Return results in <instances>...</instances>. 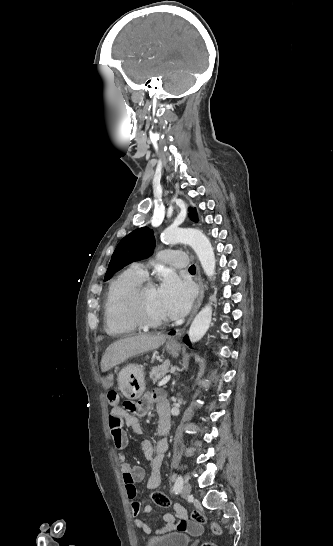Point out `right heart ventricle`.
<instances>
[{
    "instance_id": "right-heart-ventricle-1",
    "label": "right heart ventricle",
    "mask_w": 333,
    "mask_h": 546,
    "mask_svg": "<svg viewBox=\"0 0 333 546\" xmlns=\"http://www.w3.org/2000/svg\"><path fill=\"white\" fill-rule=\"evenodd\" d=\"M144 279L136 268L131 267L110 282L103 303V320L108 334L122 336L138 330L139 325L126 310L125 297L133 286Z\"/></svg>"
}]
</instances>
